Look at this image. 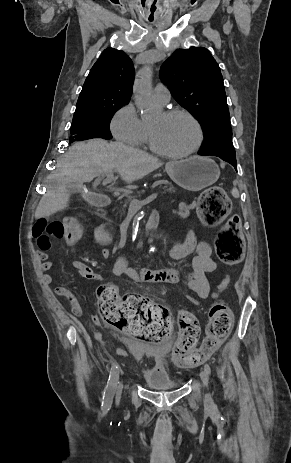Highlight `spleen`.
I'll return each mask as SVG.
<instances>
[{
	"label": "spleen",
	"instance_id": "3e777b00",
	"mask_svg": "<svg viewBox=\"0 0 291 463\" xmlns=\"http://www.w3.org/2000/svg\"><path fill=\"white\" fill-rule=\"evenodd\" d=\"M232 195H233V197H235V198H238V197H239V191H238L237 188H233V189H232Z\"/></svg>",
	"mask_w": 291,
	"mask_h": 463
}]
</instances>
